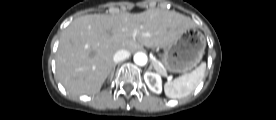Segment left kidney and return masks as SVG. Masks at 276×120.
<instances>
[{
	"label": "left kidney",
	"mask_w": 276,
	"mask_h": 120,
	"mask_svg": "<svg viewBox=\"0 0 276 120\" xmlns=\"http://www.w3.org/2000/svg\"><path fill=\"white\" fill-rule=\"evenodd\" d=\"M144 80L148 86V88L154 93H161L162 91V81L161 77L153 72L147 71L144 74Z\"/></svg>",
	"instance_id": "left-kidney-1"
}]
</instances>
